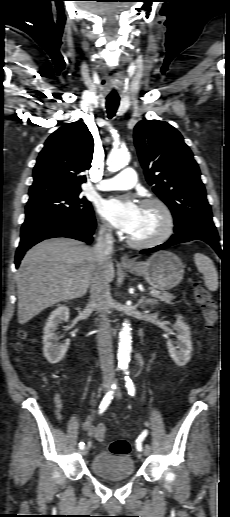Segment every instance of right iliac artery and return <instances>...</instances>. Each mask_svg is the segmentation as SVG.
Here are the masks:
<instances>
[{
  "label": "right iliac artery",
  "mask_w": 230,
  "mask_h": 517,
  "mask_svg": "<svg viewBox=\"0 0 230 517\" xmlns=\"http://www.w3.org/2000/svg\"><path fill=\"white\" fill-rule=\"evenodd\" d=\"M115 389H116V383L111 385V389L104 396V398H103V400H102V402L100 404V407H99V414H102L107 409L109 404L111 403V400L113 399V395H114V390ZM84 445H85L84 442H80L79 443V448L83 449Z\"/></svg>",
  "instance_id": "1"
}]
</instances>
